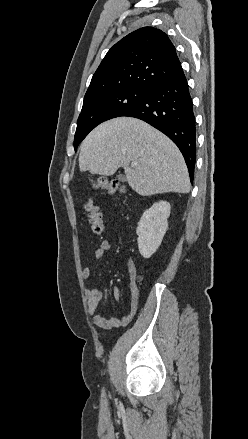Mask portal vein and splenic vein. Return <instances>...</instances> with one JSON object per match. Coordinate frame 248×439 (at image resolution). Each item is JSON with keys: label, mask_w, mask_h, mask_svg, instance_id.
<instances>
[{"label": "portal vein and splenic vein", "mask_w": 248, "mask_h": 439, "mask_svg": "<svg viewBox=\"0 0 248 439\" xmlns=\"http://www.w3.org/2000/svg\"><path fill=\"white\" fill-rule=\"evenodd\" d=\"M137 165H138V164H137L136 162H132V163H131V167H133V168L136 167Z\"/></svg>", "instance_id": "obj_1"}]
</instances>
